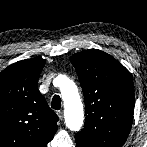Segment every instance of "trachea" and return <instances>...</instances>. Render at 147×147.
<instances>
[{"mask_svg":"<svg viewBox=\"0 0 147 147\" xmlns=\"http://www.w3.org/2000/svg\"><path fill=\"white\" fill-rule=\"evenodd\" d=\"M51 107L55 110H59L61 108V98L59 95H55L52 98V105Z\"/></svg>","mask_w":147,"mask_h":147,"instance_id":"1","label":"trachea"}]
</instances>
